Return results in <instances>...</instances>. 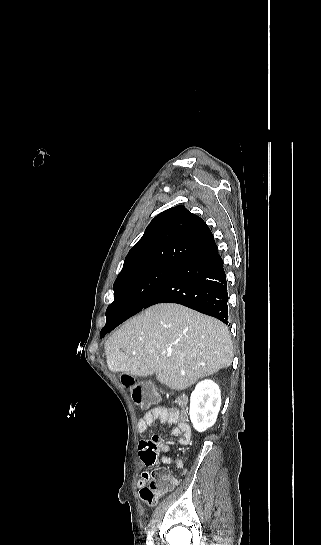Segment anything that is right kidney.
Listing matches in <instances>:
<instances>
[{"mask_svg":"<svg viewBox=\"0 0 321 545\" xmlns=\"http://www.w3.org/2000/svg\"><path fill=\"white\" fill-rule=\"evenodd\" d=\"M221 407L220 389L214 381H201L190 397V421L194 429L204 433L216 423Z\"/></svg>","mask_w":321,"mask_h":545,"instance_id":"ca27d5eb","label":"right kidney"}]
</instances>
